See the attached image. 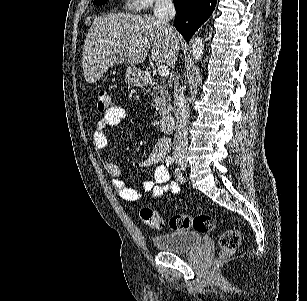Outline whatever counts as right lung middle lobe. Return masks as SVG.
I'll return each mask as SVG.
<instances>
[{
	"label": "right lung middle lobe",
	"instance_id": "right-lung-middle-lobe-1",
	"mask_svg": "<svg viewBox=\"0 0 307 301\" xmlns=\"http://www.w3.org/2000/svg\"><path fill=\"white\" fill-rule=\"evenodd\" d=\"M108 0H94L93 4L95 5H102L106 3Z\"/></svg>",
	"mask_w": 307,
	"mask_h": 301
}]
</instances>
